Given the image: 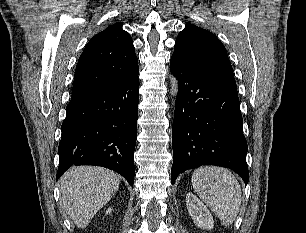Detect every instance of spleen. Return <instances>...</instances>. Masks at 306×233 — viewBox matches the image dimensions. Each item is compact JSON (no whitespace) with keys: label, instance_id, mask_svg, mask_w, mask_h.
Wrapping results in <instances>:
<instances>
[{"label":"spleen","instance_id":"obj_1","mask_svg":"<svg viewBox=\"0 0 306 233\" xmlns=\"http://www.w3.org/2000/svg\"><path fill=\"white\" fill-rule=\"evenodd\" d=\"M192 185L224 226L235 221L242 200L241 187L229 170L216 166L197 168L192 175Z\"/></svg>","mask_w":306,"mask_h":233}]
</instances>
